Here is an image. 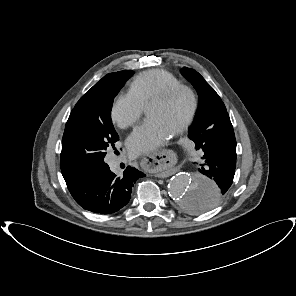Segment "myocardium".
Listing matches in <instances>:
<instances>
[{
  "mask_svg": "<svg viewBox=\"0 0 296 296\" xmlns=\"http://www.w3.org/2000/svg\"><path fill=\"white\" fill-rule=\"evenodd\" d=\"M186 94L189 97L190 100V108L187 116L185 119L181 122V124L174 130L175 134L181 133L185 131L193 122L197 109H198V98L195 93V91L188 85L179 84L176 86H173L166 91L160 93L159 95L153 97L146 105V110L150 105L153 104H161L166 103L171 100H173L175 97H177L179 94Z\"/></svg>",
  "mask_w": 296,
  "mask_h": 296,
  "instance_id": "myocardium-1",
  "label": "myocardium"
}]
</instances>
